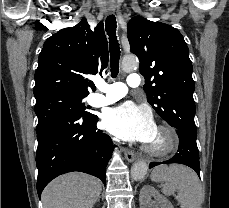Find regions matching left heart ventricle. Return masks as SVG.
I'll use <instances>...</instances> for the list:
<instances>
[{
  "label": "left heart ventricle",
  "mask_w": 229,
  "mask_h": 208,
  "mask_svg": "<svg viewBox=\"0 0 229 208\" xmlns=\"http://www.w3.org/2000/svg\"><path fill=\"white\" fill-rule=\"evenodd\" d=\"M168 133L164 131L156 130L152 138L147 142L146 145L156 149L163 150L166 148V143H164V138H168Z\"/></svg>",
  "instance_id": "1"
}]
</instances>
